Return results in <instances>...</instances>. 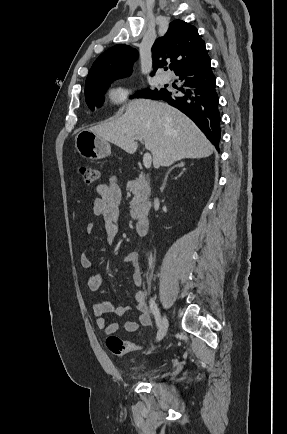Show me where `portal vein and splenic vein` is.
<instances>
[{
    "instance_id": "obj_1",
    "label": "portal vein and splenic vein",
    "mask_w": 287,
    "mask_h": 434,
    "mask_svg": "<svg viewBox=\"0 0 287 434\" xmlns=\"http://www.w3.org/2000/svg\"><path fill=\"white\" fill-rule=\"evenodd\" d=\"M136 139L143 143V139L140 136H136ZM152 157L151 154L146 152L143 156V164L145 168L149 169L151 167Z\"/></svg>"
}]
</instances>
